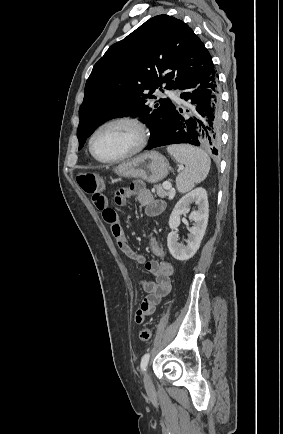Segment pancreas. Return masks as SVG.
<instances>
[{
    "label": "pancreas",
    "mask_w": 283,
    "mask_h": 434,
    "mask_svg": "<svg viewBox=\"0 0 283 434\" xmlns=\"http://www.w3.org/2000/svg\"><path fill=\"white\" fill-rule=\"evenodd\" d=\"M153 190H154V192L156 191L157 195L160 198H165V197H168L172 194V191L170 189L164 188V186L161 184L155 185Z\"/></svg>",
    "instance_id": "obj_1"
}]
</instances>
